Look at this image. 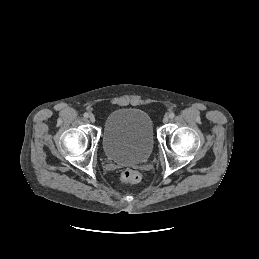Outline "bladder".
I'll return each mask as SVG.
<instances>
[{"label": "bladder", "mask_w": 259, "mask_h": 259, "mask_svg": "<svg viewBox=\"0 0 259 259\" xmlns=\"http://www.w3.org/2000/svg\"><path fill=\"white\" fill-rule=\"evenodd\" d=\"M153 146L152 120L143 110L120 108L107 116L102 147L109 160L123 165L143 163L151 156Z\"/></svg>", "instance_id": "obj_1"}]
</instances>
